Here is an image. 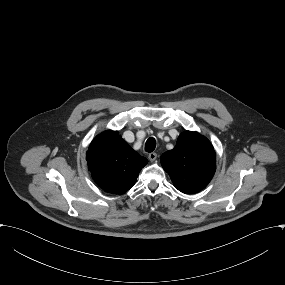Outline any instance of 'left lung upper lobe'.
Returning <instances> with one entry per match:
<instances>
[{
	"label": "left lung upper lobe",
	"instance_id": "5c2ea615",
	"mask_svg": "<svg viewBox=\"0 0 285 285\" xmlns=\"http://www.w3.org/2000/svg\"><path fill=\"white\" fill-rule=\"evenodd\" d=\"M161 164L174 186L183 193H196L211 181L216 155L210 141L197 132L186 131L174 149L162 154Z\"/></svg>",
	"mask_w": 285,
	"mask_h": 285
}]
</instances>
